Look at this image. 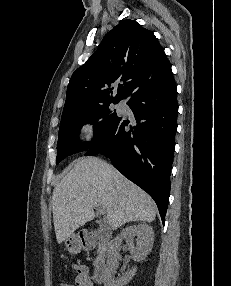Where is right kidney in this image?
<instances>
[{
  "label": "right kidney",
  "instance_id": "1",
  "mask_svg": "<svg viewBox=\"0 0 231 286\" xmlns=\"http://www.w3.org/2000/svg\"><path fill=\"white\" fill-rule=\"evenodd\" d=\"M135 237L136 246L134 244ZM123 240H125L133 260L136 262H141L148 256L152 249L154 242V231L149 225L140 223L127 227L112 240V252L107 260L104 286H125L132 280L137 271V268L134 267L128 273L124 274L120 279L114 280L112 278L113 272L118 267L117 250L121 246Z\"/></svg>",
  "mask_w": 231,
  "mask_h": 286
}]
</instances>
